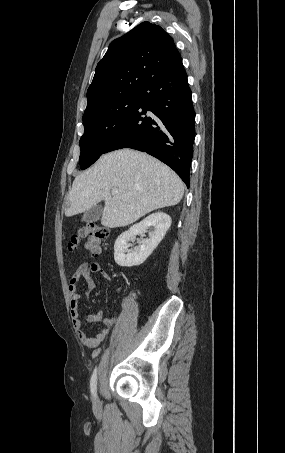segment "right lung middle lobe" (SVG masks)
Here are the masks:
<instances>
[{"label":"right lung middle lobe","mask_w":285,"mask_h":453,"mask_svg":"<svg viewBox=\"0 0 285 453\" xmlns=\"http://www.w3.org/2000/svg\"><path fill=\"white\" fill-rule=\"evenodd\" d=\"M141 99V92L111 98L84 112V135L80 139V166L86 169L120 132Z\"/></svg>","instance_id":"right-lung-middle-lobe-1"}]
</instances>
